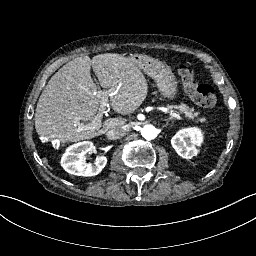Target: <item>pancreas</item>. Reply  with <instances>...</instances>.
<instances>
[{"label":"pancreas","instance_id":"cf45deb5","mask_svg":"<svg viewBox=\"0 0 256 256\" xmlns=\"http://www.w3.org/2000/svg\"><path fill=\"white\" fill-rule=\"evenodd\" d=\"M172 109L174 107H171ZM180 111L181 113H185L186 116L190 117L191 119H193V121L195 123H204L205 125H209V122L207 121L206 118H199V117H196V114L193 113L194 109L193 108H189L187 107V105L185 103H181V106H180Z\"/></svg>","mask_w":256,"mask_h":256}]
</instances>
